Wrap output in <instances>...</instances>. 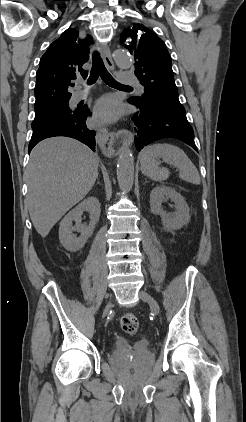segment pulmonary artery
Segmentation results:
<instances>
[{
    "mask_svg": "<svg viewBox=\"0 0 246 422\" xmlns=\"http://www.w3.org/2000/svg\"><path fill=\"white\" fill-rule=\"evenodd\" d=\"M119 80L121 83L125 85H136L139 88H142L141 84L139 83L138 78L131 72L123 71L119 74ZM88 90H78L73 93L71 97L72 103H77L83 98H85L88 95Z\"/></svg>",
    "mask_w": 246,
    "mask_h": 422,
    "instance_id": "pulmonary-artery-1",
    "label": "pulmonary artery"
}]
</instances>
